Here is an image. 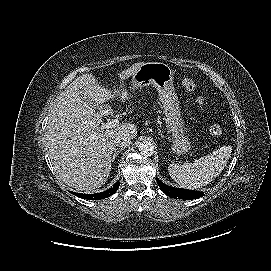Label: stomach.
Wrapping results in <instances>:
<instances>
[{
  "label": "stomach",
  "instance_id": "0dacf381",
  "mask_svg": "<svg viewBox=\"0 0 271 271\" xmlns=\"http://www.w3.org/2000/svg\"><path fill=\"white\" fill-rule=\"evenodd\" d=\"M174 72L164 63L147 62L132 75V85L129 92L135 89L153 85L159 95L162 108L166 116V127L171 142V152L183 155L191 149V141L184 130V121L181 115L179 100L174 86Z\"/></svg>",
  "mask_w": 271,
  "mask_h": 271
}]
</instances>
